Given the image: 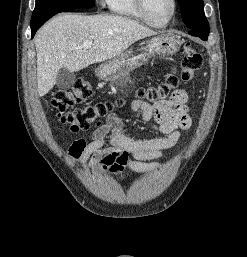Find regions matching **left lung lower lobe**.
I'll use <instances>...</instances> for the list:
<instances>
[{
    "mask_svg": "<svg viewBox=\"0 0 247 257\" xmlns=\"http://www.w3.org/2000/svg\"><path fill=\"white\" fill-rule=\"evenodd\" d=\"M189 34L192 36H198L200 37L202 40H207L208 34L209 33H205L203 31L197 30V29H191L189 31Z\"/></svg>",
    "mask_w": 247,
    "mask_h": 257,
    "instance_id": "0a47b994",
    "label": "left lung lower lobe"
}]
</instances>
